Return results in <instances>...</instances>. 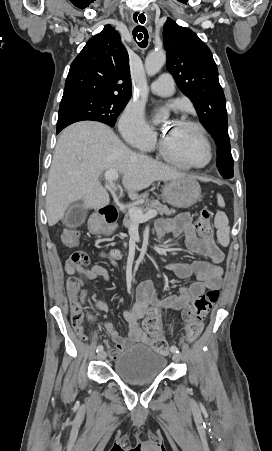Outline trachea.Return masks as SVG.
<instances>
[{
  "label": "trachea",
  "mask_w": 272,
  "mask_h": 451,
  "mask_svg": "<svg viewBox=\"0 0 272 451\" xmlns=\"http://www.w3.org/2000/svg\"><path fill=\"white\" fill-rule=\"evenodd\" d=\"M135 21L138 23L137 19ZM141 24L145 22V18L143 20H139ZM133 37L136 39L138 38V45L141 48H145L148 45V32L146 28H144L142 25L135 27L133 30Z\"/></svg>",
  "instance_id": "obj_1"
}]
</instances>
